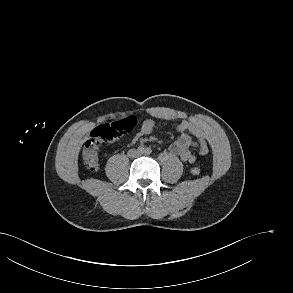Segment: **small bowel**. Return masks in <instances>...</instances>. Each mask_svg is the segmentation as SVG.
Segmentation results:
<instances>
[{
	"mask_svg": "<svg viewBox=\"0 0 293 293\" xmlns=\"http://www.w3.org/2000/svg\"><path fill=\"white\" fill-rule=\"evenodd\" d=\"M157 126L156 121L148 119L141 126L139 134L134 136L130 143L136 142L140 136L151 134ZM176 131L182 133L181 137L175 141L170 151L187 164H196L197 158L191 153L190 148L196 147L200 155L208 153V146L205 140V134L201 128L191 121H183L176 126Z\"/></svg>",
	"mask_w": 293,
	"mask_h": 293,
	"instance_id": "obj_1",
	"label": "small bowel"
}]
</instances>
